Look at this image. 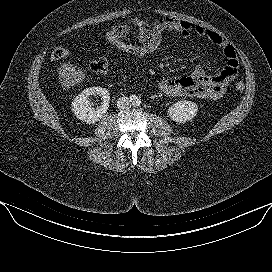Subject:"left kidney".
Instances as JSON below:
<instances>
[{"label": "left kidney", "mask_w": 272, "mask_h": 272, "mask_svg": "<svg viewBox=\"0 0 272 272\" xmlns=\"http://www.w3.org/2000/svg\"><path fill=\"white\" fill-rule=\"evenodd\" d=\"M197 111L198 107L195 103L183 100L170 106L168 109V115L173 121L184 123L192 120L196 116Z\"/></svg>", "instance_id": "obj_1"}]
</instances>
